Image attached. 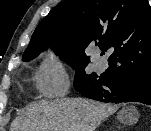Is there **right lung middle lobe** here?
Segmentation results:
<instances>
[{
  "label": "right lung middle lobe",
  "instance_id": "1",
  "mask_svg": "<svg viewBox=\"0 0 151 131\" xmlns=\"http://www.w3.org/2000/svg\"><path fill=\"white\" fill-rule=\"evenodd\" d=\"M49 46L47 44H38L27 47L23 54V61H29L35 58L42 50L47 49ZM56 50V54L60 55V58L70 64L74 69H76L75 77H93L97 74H86L84 69L89 63L90 59L85 54L78 53L74 48L64 45L57 44L52 46ZM98 76V75H97Z\"/></svg>",
  "mask_w": 151,
  "mask_h": 131
}]
</instances>
